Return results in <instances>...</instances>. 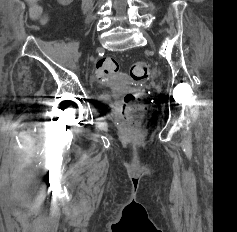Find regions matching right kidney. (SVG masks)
I'll return each instance as SVG.
<instances>
[{"mask_svg":"<svg viewBox=\"0 0 237 232\" xmlns=\"http://www.w3.org/2000/svg\"><path fill=\"white\" fill-rule=\"evenodd\" d=\"M59 4L63 6L69 5L73 0H57Z\"/></svg>","mask_w":237,"mask_h":232,"instance_id":"right-kidney-1","label":"right kidney"}]
</instances>
